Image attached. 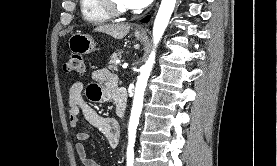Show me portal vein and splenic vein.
I'll list each match as a JSON object with an SVG mask.
<instances>
[{
    "label": "portal vein and splenic vein",
    "instance_id": "obj_1",
    "mask_svg": "<svg viewBox=\"0 0 277 166\" xmlns=\"http://www.w3.org/2000/svg\"><path fill=\"white\" fill-rule=\"evenodd\" d=\"M127 66H128V64H127V63H124V64L122 65V68L125 69V68H127Z\"/></svg>",
    "mask_w": 277,
    "mask_h": 166
}]
</instances>
